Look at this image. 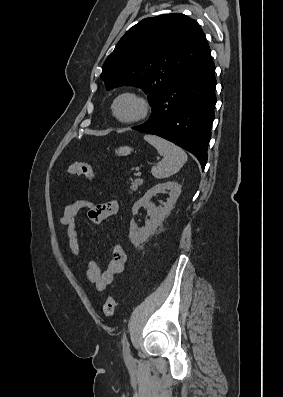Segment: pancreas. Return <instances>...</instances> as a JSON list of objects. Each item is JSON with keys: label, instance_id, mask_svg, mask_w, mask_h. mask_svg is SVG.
<instances>
[{"label": "pancreas", "instance_id": "1", "mask_svg": "<svg viewBox=\"0 0 283 397\" xmlns=\"http://www.w3.org/2000/svg\"><path fill=\"white\" fill-rule=\"evenodd\" d=\"M141 185H142V180L140 179L131 180V186H130L131 192H136L138 190V187Z\"/></svg>", "mask_w": 283, "mask_h": 397}]
</instances>
